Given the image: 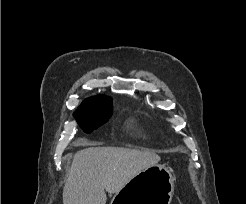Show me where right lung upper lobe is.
Listing matches in <instances>:
<instances>
[{
    "instance_id": "1",
    "label": "right lung upper lobe",
    "mask_w": 246,
    "mask_h": 204,
    "mask_svg": "<svg viewBox=\"0 0 246 204\" xmlns=\"http://www.w3.org/2000/svg\"><path fill=\"white\" fill-rule=\"evenodd\" d=\"M108 98H109V97L102 96V95H98V96H96V97L88 98V99H86V100L82 103V105L80 106V108H82V107L88 105V104H89L90 102H92V101H95V100H101V99H108Z\"/></svg>"
}]
</instances>
